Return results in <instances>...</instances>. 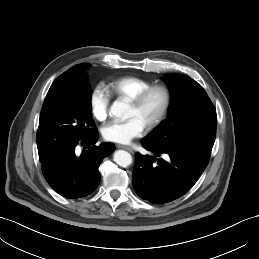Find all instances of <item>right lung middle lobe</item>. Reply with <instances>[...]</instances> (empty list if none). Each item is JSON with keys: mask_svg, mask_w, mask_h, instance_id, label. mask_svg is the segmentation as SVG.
<instances>
[{"mask_svg": "<svg viewBox=\"0 0 259 259\" xmlns=\"http://www.w3.org/2000/svg\"><path fill=\"white\" fill-rule=\"evenodd\" d=\"M89 67L85 64L79 71L80 89L44 101L36 137L39 158L65 152L94 132L90 128L94 122L90 85L85 74Z\"/></svg>", "mask_w": 259, "mask_h": 259, "instance_id": "dd1d6c3e", "label": "right lung middle lobe"}]
</instances>
